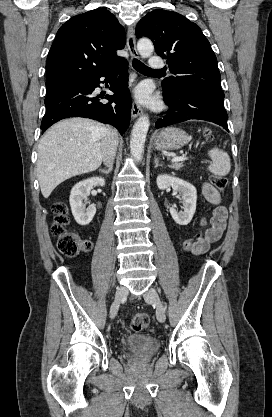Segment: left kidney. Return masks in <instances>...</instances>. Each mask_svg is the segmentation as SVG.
I'll use <instances>...</instances> for the list:
<instances>
[{"label": "left kidney", "mask_w": 272, "mask_h": 417, "mask_svg": "<svg viewBox=\"0 0 272 417\" xmlns=\"http://www.w3.org/2000/svg\"><path fill=\"white\" fill-rule=\"evenodd\" d=\"M156 182L160 190H165L168 187H172L174 191L179 192L180 196L182 197L183 211H178L174 207H171L170 214L177 224H189L196 211V188L187 181L166 174L159 175Z\"/></svg>", "instance_id": "1"}]
</instances>
